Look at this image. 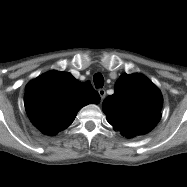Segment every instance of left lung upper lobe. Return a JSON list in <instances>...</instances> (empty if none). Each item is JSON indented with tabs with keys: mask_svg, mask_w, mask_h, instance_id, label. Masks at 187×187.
<instances>
[{
	"mask_svg": "<svg viewBox=\"0 0 187 187\" xmlns=\"http://www.w3.org/2000/svg\"><path fill=\"white\" fill-rule=\"evenodd\" d=\"M163 98L160 90L141 74H122L115 92L103 101L107 120L126 137L149 132L159 122Z\"/></svg>",
	"mask_w": 187,
	"mask_h": 187,
	"instance_id": "5c2ea615",
	"label": "left lung upper lobe"
}]
</instances>
